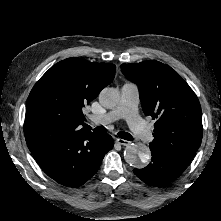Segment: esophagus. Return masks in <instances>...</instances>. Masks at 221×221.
<instances>
[{
    "label": "esophagus",
    "instance_id": "1",
    "mask_svg": "<svg viewBox=\"0 0 221 221\" xmlns=\"http://www.w3.org/2000/svg\"><path fill=\"white\" fill-rule=\"evenodd\" d=\"M116 142L120 145L127 146L130 142L121 138H117Z\"/></svg>",
    "mask_w": 221,
    "mask_h": 221
}]
</instances>
